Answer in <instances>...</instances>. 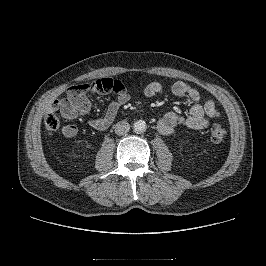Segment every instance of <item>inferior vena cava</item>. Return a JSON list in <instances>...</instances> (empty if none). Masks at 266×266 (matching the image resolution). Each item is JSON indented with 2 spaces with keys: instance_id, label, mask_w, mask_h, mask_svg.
I'll list each match as a JSON object with an SVG mask.
<instances>
[{
  "instance_id": "1",
  "label": "inferior vena cava",
  "mask_w": 266,
  "mask_h": 266,
  "mask_svg": "<svg viewBox=\"0 0 266 266\" xmlns=\"http://www.w3.org/2000/svg\"><path fill=\"white\" fill-rule=\"evenodd\" d=\"M115 133L117 135H124L130 130V125L127 121H119L114 125Z\"/></svg>"
}]
</instances>
